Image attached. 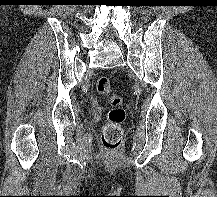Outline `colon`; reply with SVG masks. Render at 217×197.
Segmentation results:
<instances>
[{
    "label": "colon",
    "mask_w": 217,
    "mask_h": 197,
    "mask_svg": "<svg viewBox=\"0 0 217 197\" xmlns=\"http://www.w3.org/2000/svg\"><path fill=\"white\" fill-rule=\"evenodd\" d=\"M96 90L99 94L106 95L112 106L108 112V120L102 129L101 142L106 150L116 151L121 143V124L126 118V112L122 107V98L111 92L110 79L107 76H100L97 79Z\"/></svg>",
    "instance_id": "5ec220e1"
}]
</instances>
